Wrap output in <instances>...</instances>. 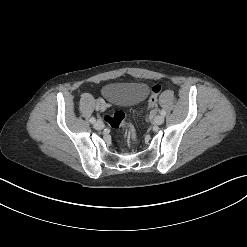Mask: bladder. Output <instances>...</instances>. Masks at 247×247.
I'll list each match as a JSON object with an SVG mask.
<instances>
[{
    "instance_id": "obj_1",
    "label": "bladder",
    "mask_w": 247,
    "mask_h": 247,
    "mask_svg": "<svg viewBox=\"0 0 247 247\" xmlns=\"http://www.w3.org/2000/svg\"><path fill=\"white\" fill-rule=\"evenodd\" d=\"M102 93L114 104L130 106L144 100L149 93V88L140 82L108 83L103 87Z\"/></svg>"
}]
</instances>
